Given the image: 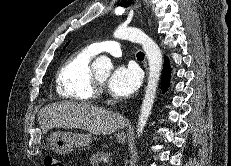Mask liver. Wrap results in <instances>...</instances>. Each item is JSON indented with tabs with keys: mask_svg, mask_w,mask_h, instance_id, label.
<instances>
[{
	"mask_svg": "<svg viewBox=\"0 0 231 166\" xmlns=\"http://www.w3.org/2000/svg\"><path fill=\"white\" fill-rule=\"evenodd\" d=\"M38 122L44 134L53 128H81L96 135H108L127 125L118 113L86 103L63 101L43 107Z\"/></svg>",
	"mask_w": 231,
	"mask_h": 166,
	"instance_id": "1",
	"label": "liver"
}]
</instances>
